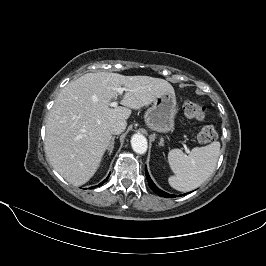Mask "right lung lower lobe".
<instances>
[{
	"instance_id": "right-lung-lower-lobe-1",
	"label": "right lung lower lobe",
	"mask_w": 266,
	"mask_h": 266,
	"mask_svg": "<svg viewBox=\"0 0 266 266\" xmlns=\"http://www.w3.org/2000/svg\"><path fill=\"white\" fill-rule=\"evenodd\" d=\"M108 177H109V176H108ZM108 177H107L104 181H102L98 186H101L103 183H105L106 180L108 179Z\"/></svg>"
}]
</instances>
